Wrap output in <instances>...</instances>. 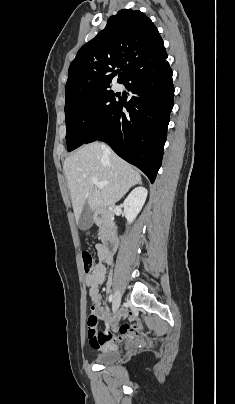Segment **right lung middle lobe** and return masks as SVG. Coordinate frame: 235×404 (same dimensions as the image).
Listing matches in <instances>:
<instances>
[{"instance_id":"1","label":"right lung middle lobe","mask_w":235,"mask_h":404,"mask_svg":"<svg viewBox=\"0 0 235 404\" xmlns=\"http://www.w3.org/2000/svg\"><path fill=\"white\" fill-rule=\"evenodd\" d=\"M118 103L113 91L104 89L65 103L68 151L85 143Z\"/></svg>"}]
</instances>
